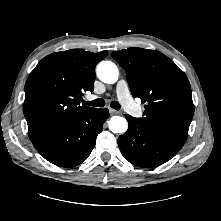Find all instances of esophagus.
I'll return each mask as SVG.
<instances>
[{
  "mask_svg": "<svg viewBox=\"0 0 221 221\" xmlns=\"http://www.w3.org/2000/svg\"><path fill=\"white\" fill-rule=\"evenodd\" d=\"M109 112L111 115L119 114V111L109 108Z\"/></svg>",
  "mask_w": 221,
  "mask_h": 221,
  "instance_id": "34e87169",
  "label": "esophagus"
}]
</instances>
